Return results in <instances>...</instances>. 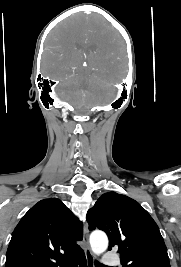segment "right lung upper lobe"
<instances>
[{
  "instance_id": "obj_1",
  "label": "right lung upper lobe",
  "mask_w": 181,
  "mask_h": 267,
  "mask_svg": "<svg viewBox=\"0 0 181 267\" xmlns=\"http://www.w3.org/2000/svg\"><path fill=\"white\" fill-rule=\"evenodd\" d=\"M82 238V222L61 200H41L14 229L5 267H66L83 254Z\"/></svg>"
}]
</instances>
